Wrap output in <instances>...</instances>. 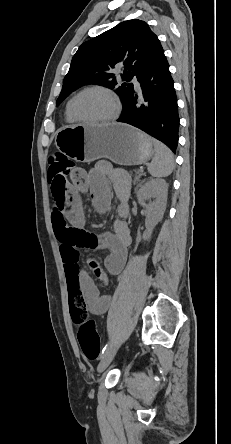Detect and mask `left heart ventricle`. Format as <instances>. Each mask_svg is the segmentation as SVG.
<instances>
[{
	"instance_id": "b2bd125f",
	"label": "left heart ventricle",
	"mask_w": 231,
	"mask_h": 444,
	"mask_svg": "<svg viewBox=\"0 0 231 444\" xmlns=\"http://www.w3.org/2000/svg\"><path fill=\"white\" fill-rule=\"evenodd\" d=\"M78 113L88 120H100L113 113V104L110 98L101 91H88L77 101Z\"/></svg>"
}]
</instances>
